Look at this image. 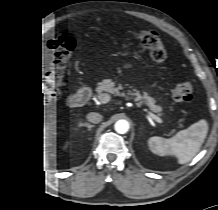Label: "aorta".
Masks as SVG:
<instances>
[{
  "label": "aorta",
  "instance_id": "aorta-1",
  "mask_svg": "<svg viewBox=\"0 0 218 210\" xmlns=\"http://www.w3.org/2000/svg\"><path fill=\"white\" fill-rule=\"evenodd\" d=\"M115 131L119 134H124L129 130V123L126 120H118L114 125Z\"/></svg>",
  "mask_w": 218,
  "mask_h": 210
}]
</instances>
